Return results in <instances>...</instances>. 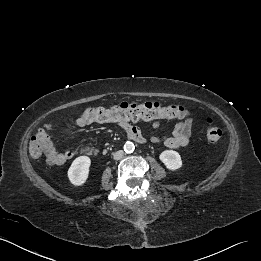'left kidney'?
<instances>
[{
  "mask_svg": "<svg viewBox=\"0 0 261 261\" xmlns=\"http://www.w3.org/2000/svg\"><path fill=\"white\" fill-rule=\"evenodd\" d=\"M160 161L169 170H177L182 166L181 156L178 152L173 150H165L159 156Z\"/></svg>",
  "mask_w": 261,
  "mask_h": 261,
  "instance_id": "5707ae66",
  "label": "left kidney"
}]
</instances>
